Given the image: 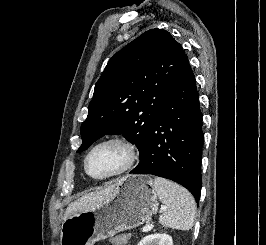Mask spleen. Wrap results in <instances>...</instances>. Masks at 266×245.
Wrapping results in <instances>:
<instances>
[{
  "label": "spleen",
  "instance_id": "obj_1",
  "mask_svg": "<svg viewBox=\"0 0 266 245\" xmlns=\"http://www.w3.org/2000/svg\"><path fill=\"white\" fill-rule=\"evenodd\" d=\"M154 187L161 203L168 207L167 211L160 215L159 223L169 229L190 231L196 211L194 197L184 187L161 177L154 179Z\"/></svg>",
  "mask_w": 266,
  "mask_h": 245
}]
</instances>
